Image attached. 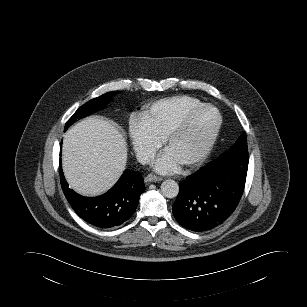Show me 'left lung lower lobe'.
Here are the masks:
<instances>
[{
    "mask_svg": "<svg viewBox=\"0 0 307 307\" xmlns=\"http://www.w3.org/2000/svg\"><path fill=\"white\" fill-rule=\"evenodd\" d=\"M247 170L248 163L217 161L181 181L172 207L177 222L194 232L221 225L241 199Z\"/></svg>",
    "mask_w": 307,
    "mask_h": 307,
    "instance_id": "obj_1",
    "label": "left lung lower lobe"
}]
</instances>
